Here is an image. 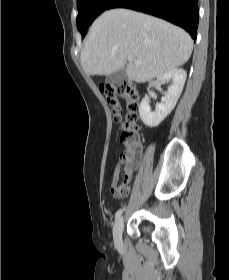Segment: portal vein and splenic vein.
<instances>
[{"mask_svg":"<svg viewBox=\"0 0 229 280\" xmlns=\"http://www.w3.org/2000/svg\"><path fill=\"white\" fill-rule=\"evenodd\" d=\"M127 60H128V61H135L133 56H128V57H127ZM135 62L138 63V64L141 63L140 61H135Z\"/></svg>","mask_w":229,"mask_h":280,"instance_id":"1","label":"portal vein and splenic vein"}]
</instances>
